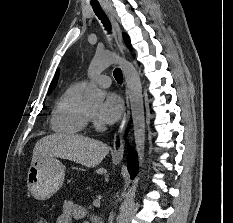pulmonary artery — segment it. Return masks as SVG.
Returning a JSON list of instances; mask_svg holds the SVG:
<instances>
[{
    "mask_svg": "<svg viewBox=\"0 0 233 223\" xmlns=\"http://www.w3.org/2000/svg\"><path fill=\"white\" fill-rule=\"evenodd\" d=\"M98 82L100 83V85H102L103 87H108L110 82H111V79L106 76V75H103L101 76L99 79H98ZM83 85H86V81H83L82 82Z\"/></svg>",
    "mask_w": 233,
    "mask_h": 223,
    "instance_id": "e3ab8cb5",
    "label": "pulmonary artery"
}]
</instances>
